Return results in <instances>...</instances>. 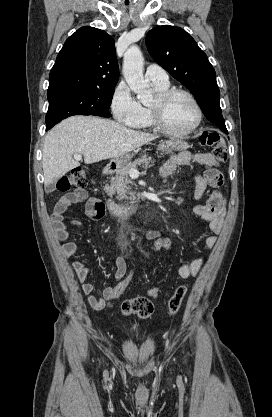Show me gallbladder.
<instances>
[{"mask_svg": "<svg viewBox=\"0 0 272 417\" xmlns=\"http://www.w3.org/2000/svg\"><path fill=\"white\" fill-rule=\"evenodd\" d=\"M45 191H46V193H51L52 191H54V183L46 185L45 186Z\"/></svg>", "mask_w": 272, "mask_h": 417, "instance_id": "1", "label": "gallbladder"}]
</instances>
